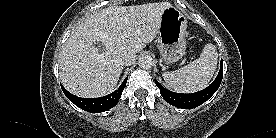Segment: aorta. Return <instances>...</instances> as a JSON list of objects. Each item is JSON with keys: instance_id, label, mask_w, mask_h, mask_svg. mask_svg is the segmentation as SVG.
<instances>
[{"instance_id": "obj_1", "label": "aorta", "mask_w": 276, "mask_h": 138, "mask_svg": "<svg viewBox=\"0 0 276 138\" xmlns=\"http://www.w3.org/2000/svg\"><path fill=\"white\" fill-rule=\"evenodd\" d=\"M138 64L142 69H150L153 65V59L151 56L144 55L139 58Z\"/></svg>"}]
</instances>
